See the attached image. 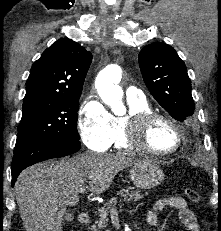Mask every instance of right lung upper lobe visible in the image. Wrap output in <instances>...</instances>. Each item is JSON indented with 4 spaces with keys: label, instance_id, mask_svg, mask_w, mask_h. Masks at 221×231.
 Here are the masks:
<instances>
[{
    "label": "right lung upper lobe",
    "instance_id": "obj_1",
    "mask_svg": "<svg viewBox=\"0 0 221 231\" xmlns=\"http://www.w3.org/2000/svg\"><path fill=\"white\" fill-rule=\"evenodd\" d=\"M91 61V52L77 42L57 40L32 65L23 101L80 97Z\"/></svg>",
    "mask_w": 221,
    "mask_h": 231
}]
</instances>
